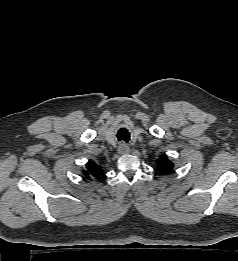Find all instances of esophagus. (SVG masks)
I'll return each instance as SVG.
<instances>
[{
	"instance_id": "esophagus-1",
	"label": "esophagus",
	"mask_w": 238,
	"mask_h": 261,
	"mask_svg": "<svg viewBox=\"0 0 238 261\" xmlns=\"http://www.w3.org/2000/svg\"><path fill=\"white\" fill-rule=\"evenodd\" d=\"M119 154H127L130 151V148L127 143L121 142L117 149Z\"/></svg>"
}]
</instances>
